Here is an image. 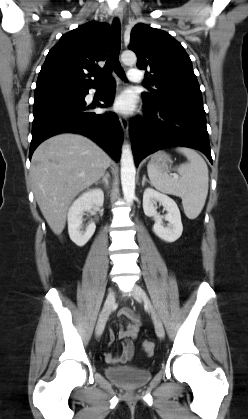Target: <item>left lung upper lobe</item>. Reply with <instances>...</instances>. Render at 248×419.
I'll list each match as a JSON object with an SVG mask.
<instances>
[{
  "label": "left lung upper lobe",
  "instance_id": "obj_1",
  "mask_svg": "<svg viewBox=\"0 0 248 419\" xmlns=\"http://www.w3.org/2000/svg\"><path fill=\"white\" fill-rule=\"evenodd\" d=\"M128 48L137 55V67L148 70L145 76L154 86L148 88L149 92L142 93L144 103L202 101L192 62L182 45L169 33L139 23L131 31Z\"/></svg>",
  "mask_w": 248,
  "mask_h": 419
}]
</instances>
